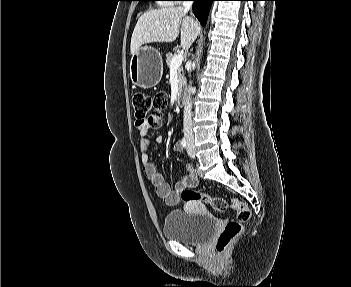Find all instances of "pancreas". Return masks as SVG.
<instances>
[{"mask_svg": "<svg viewBox=\"0 0 351 287\" xmlns=\"http://www.w3.org/2000/svg\"><path fill=\"white\" fill-rule=\"evenodd\" d=\"M176 54H172V53H167L166 54V64L167 66L170 68V65H171V61H172V58L175 56ZM182 71L183 69L181 67H178L177 68V77H178V87L179 89L182 88V85L184 83V75L182 74Z\"/></svg>", "mask_w": 351, "mask_h": 287, "instance_id": "pancreas-1", "label": "pancreas"}]
</instances>
